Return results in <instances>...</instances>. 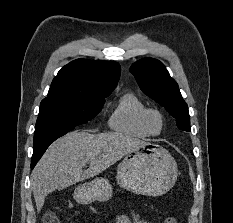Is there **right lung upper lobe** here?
Segmentation results:
<instances>
[{
    "label": "right lung upper lobe",
    "instance_id": "obj_1",
    "mask_svg": "<svg viewBox=\"0 0 233 223\" xmlns=\"http://www.w3.org/2000/svg\"><path fill=\"white\" fill-rule=\"evenodd\" d=\"M119 77L120 65L117 62L77 59L58 72L47 97L104 100L116 87Z\"/></svg>",
    "mask_w": 233,
    "mask_h": 223
}]
</instances>
